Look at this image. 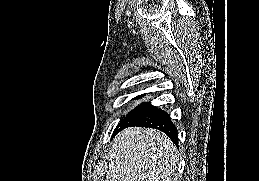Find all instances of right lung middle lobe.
I'll return each instance as SVG.
<instances>
[{"mask_svg":"<svg viewBox=\"0 0 259 181\" xmlns=\"http://www.w3.org/2000/svg\"><path fill=\"white\" fill-rule=\"evenodd\" d=\"M139 97V96H138ZM150 106V103H142L141 105H138L134 110H132L126 117L122 119V121L117 125L116 130H118L121 127H124L128 125L129 123L133 122L135 119H137L148 107Z\"/></svg>","mask_w":259,"mask_h":181,"instance_id":"obj_1","label":"right lung middle lobe"}]
</instances>
